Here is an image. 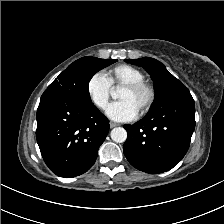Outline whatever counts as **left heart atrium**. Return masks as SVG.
Listing matches in <instances>:
<instances>
[{"mask_svg": "<svg viewBox=\"0 0 224 224\" xmlns=\"http://www.w3.org/2000/svg\"><path fill=\"white\" fill-rule=\"evenodd\" d=\"M107 116L114 121H131L137 118L138 110L126 100H120L110 104L106 110Z\"/></svg>", "mask_w": 224, "mask_h": 224, "instance_id": "1", "label": "left heart atrium"}]
</instances>
